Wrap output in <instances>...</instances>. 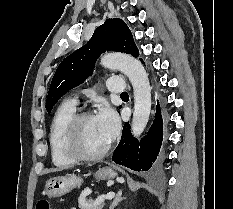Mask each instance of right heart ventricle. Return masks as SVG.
Instances as JSON below:
<instances>
[{
  "label": "right heart ventricle",
  "instance_id": "1",
  "mask_svg": "<svg viewBox=\"0 0 233 209\" xmlns=\"http://www.w3.org/2000/svg\"><path fill=\"white\" fill-rule=\"evenodd\" d=\"M75 114V105L66 101L58 107L51 122L49 132L51 158L53 164L59 168L70 167L76 163L66 154L63 146L66 125Z\"/></svg>",
  "mask_w": 233,
  "mask_h": 209
}]
</instances>
